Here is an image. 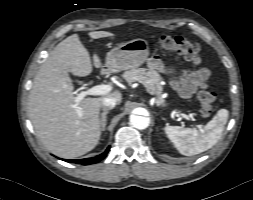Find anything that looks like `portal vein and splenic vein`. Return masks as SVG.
Here are the masks:
<instances>
[{
  "mask_svg": "<svg viewBox=\"0 0 253 200\" xmlns=\"http://www.w3.org/2000/svg\"><path fill=\"white\" fill-rule=\"evenodd\" d=\"M111 91H112V86L109 85V84H102V85L93 86V87H91L87 90L79 92L77 94V96L75 97V104L78 105L81 102V100H83L86 96H89V95H105V94H107ZM176 116L185 118L187 120L195 121V119L190 118L186 114H176ZM198 127H201V126L199 125Z\"/></svg>",
  "mask_w": 253,
  "mask_h": 200,
  "instance_id": "18ae733b",
  "label": "portal vein and splenic vein"
}]
</instances>
